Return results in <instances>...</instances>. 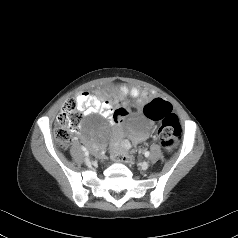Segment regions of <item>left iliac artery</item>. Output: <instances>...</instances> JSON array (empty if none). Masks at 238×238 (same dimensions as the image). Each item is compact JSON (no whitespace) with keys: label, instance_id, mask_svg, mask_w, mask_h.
<instances>
[{"label":"left iliac artery","instance_id":"left-iliac-artery-1","mask_svg":"<svg viewBox=\"0 0 238 238\" xmlns=\"http://www.w3.org/2000/svg\"><path fill=\"white\" fill-rule=\"evenodd\" d=\"M144 155H145V157H148V156L150 155V152H149V151H146V152L144 153Z\"/></svg>","mask_w":238,"mask_h":238}]
</instances>
